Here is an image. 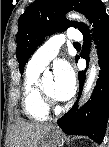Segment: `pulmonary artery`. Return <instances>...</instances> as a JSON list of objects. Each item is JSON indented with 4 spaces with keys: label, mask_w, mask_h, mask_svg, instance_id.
Masks as SVG:
<instances>
[{
    "label": "pulmonary artery",
    "mask_w": 109,
    "mask_h": 147,
    "mask_svg": "<svg viewBox=\"0 0 109 147\" xmlns=\"http://www.w3.org/2000/svg\"><path fill=\"white\" fill-rule=\"evenodd\" d=\"M66 40L73 44H78L82 41V34L80 32H67L50 37L46 43L32 55L28 65L39 70L44 69L49 62L57 56L60 46Z\"/></svg>",
    "instance_id": "e3ab8cb5"
}]
</instances>
